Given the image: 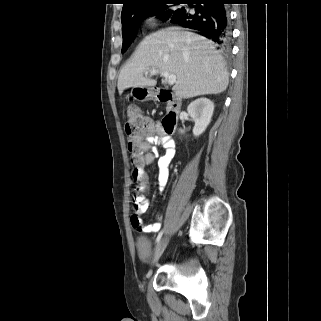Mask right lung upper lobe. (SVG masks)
Listing matches in <instances>:
<instances>
[{
    "label": "right lung upper lobe",
    "mask_w": 321,
    "mask_h": 321,
    "mask_svg": "<svg viewBox=\"0 0 321 321\" xmlns=\"http://www.w3.org/2000/svg\"><path fill=\"white\" fill-rule=\"evenodd\" d=\"M124 5L122 8L121 17L136 13L140 11L141 9L154 5L157 2L163 1V0H123Z\"/></svg>",
    "instance_id": "cb5924a9"
}]
</instances>
